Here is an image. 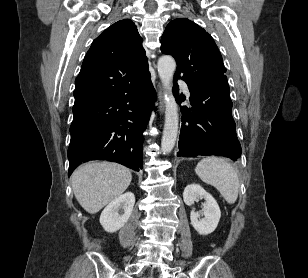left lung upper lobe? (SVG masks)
<instances>
[{"instance_id":"1","label":"left lung upper lobe","mask_w":308,"mask_h":278,"mask_svg":"<svg viewBox=\"0 0 308 278\" xmlns=\"http://www.w3.org/2000/svg\"><path fill=\"white\" fill-rule=\"evenodd\" d=\"M161 51L177 62L174 78L188 86L225 76L222 56L213 38L199 25L186 18L171 21L161 38Z\"/></svg>"}]
</instances>
